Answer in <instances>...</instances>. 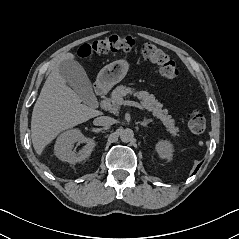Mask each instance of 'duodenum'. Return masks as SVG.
Masks as SVG:
<instances>
[{
	"label": "duodenum",
	"mask_w": 239,
	"mask_h": 239,
	"mask_svg": "<svg viewBox=\"0 0 239 239\" xmlns=\"http://www.w3.org/2000/svg\"><path fill=\"white\" fill-rule=\"evenodd\" d=\"M106 88L99 84L94 87V93L96 97H102L105 94Z\"/></svg>",
	"instance_id": "1"
}]
</instances>
